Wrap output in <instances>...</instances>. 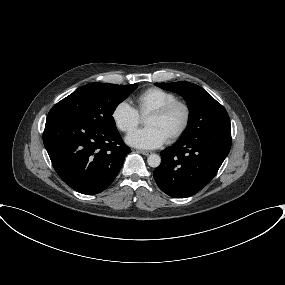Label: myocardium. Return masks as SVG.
Instances as JSON below:
<instances>
[{"instance_id":"f54148a6","label":"myocardium","mask_w":285,"mask_h":285,"mask_svg":"<svg viewBox=\"0 0 285 285\" xmlns=\"http://www.w3.org/2000/svg\"><path fill=\"white\" fill-rule=\"evenodd\" d=\"M175 108H180L182 110L183 118H182V122L180 126L178 127V129L167 137V142L169 143L177 141L187 131L190 125L191 115H192L189 104L184 100L175 99L148 113V115H155V116L162 117L170 113Z\"/></svg>"}]
</instances>
